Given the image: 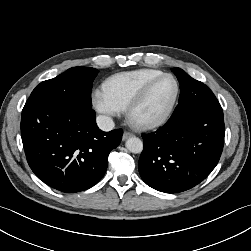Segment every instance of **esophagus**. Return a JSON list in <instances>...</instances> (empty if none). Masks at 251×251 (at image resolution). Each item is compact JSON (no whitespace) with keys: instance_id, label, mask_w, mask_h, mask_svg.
I'll return each instance as SVG.
<instances>
[{"instance_id":"esophagus-1","label":"esophagus","mask_w":251,"mask_h":251,"mask_svg":"<svg viewBox=\"0 0 251 251\" xmlns=\"http://www.w3.org/2000/svg\"><path fill=\"white\" fill-rule=\"evenodd\" d=\"M132 136H133L132 133H130V132H124V133H123L122 139H123V140H126V139H128V138H130V137H132Z\"/></svg>"}]
</instances>
